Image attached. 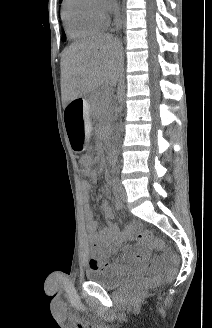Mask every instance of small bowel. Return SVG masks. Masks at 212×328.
I'll list each match as a JSON object with an SVG mask.
<instances>
[{"label": "small bowel", "mask_w": 212, "mask_h": 328, "mask_svg": "<svg viewBox=\"0 0 212 328\" xmlns=\"http://www.w3.org/2000/svg\"><path fill=\"white\" fill-rule=\"evenodd\" d=\"M82 174L88 176L91 182H97L98 180V173L95 170H93V173ZM90 181L83 180L80 184L82 197L86 203V228L91 240L95 242L96 249L104 254L105 257L110 258L116 255L121 249L123 243L133 236L136 230V224H128L123 230H120L118 226L113 223L114 212L109 204L104 201L101 204V211L109 224L107 227H99L93 218L94 205L89 201V193L91 190ZM117 206L119 208L121 207L120 204ZM148 248V246L141 245H137L134 248L126 247L123 254L117 257L114 261L101 263L98 259L93 258L91 259L90 266L93 269L102 268L109 272H130L145 264L150 256Z\"/></svg>", "instance_id": "small-bowel-1"}]
</instances>
